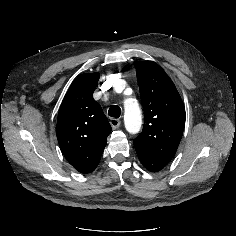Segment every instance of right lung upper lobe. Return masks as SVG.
<instances>
[{
  "label": "right lung upper lobe",
  "mask_w": 236,
  "mask_h": 236,
  "mask_svg": "<svg viewBox=\"0 0 236 236\" xmlns=\"http://www.w3.org/2000/svg\"><path fill=\"white\" fill-rule=\"evenodd\" d=\"M99 73L76 78L59 109L56 134L67 161L79 172L90 173L98 165L111 126L93 99Z\"/></svg>",
  "instance_id": "1"
}]
</instances>
